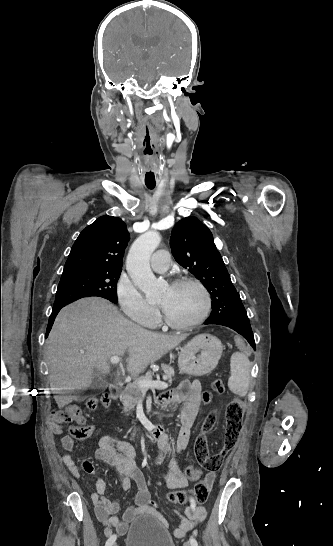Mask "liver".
Listing matches in <instances>:
<instances>
[{
  "label": "liver",
  "instance_id": "obj_1",
  "mask_svg": "<svg viewBox=\"0 0 333 546\" xmlns=\"http://www.w3.org/2000/svg\"><path fill=\"white\" fill-rule=\"evenodd\" d=\"M186 337L147 331L101 298H84L64 307L55 319L46 348L51 390L57 394L58 407L75 399L65 393L90 387L95 371L109 373L112 356L127 354V372L140 374Z\"/></svg>",
  "mask_w": 333,
  "mask_h": 546
}]
</instances>
